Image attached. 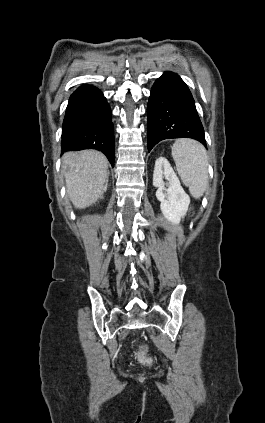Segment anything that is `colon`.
<instances>
[{"instance_id":"5ec220e1","label":"colon","mask_w":265,"mask_h":423,"mask_svg":"<svg viewBox=\"0 0 265 423\" xmlns=\"http://www.w3.org/2000/svg\"><path fill=\"white\" fill-rule=\"evenodd\" d=\"M139 358L144 362L150 361V358L147 357L146 352L144 350L139 353Z\"/></svg>"}]
</instances>
